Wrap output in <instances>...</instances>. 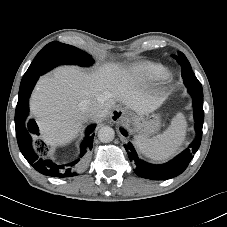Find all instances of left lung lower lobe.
<instances>
[{
	"mask_svg": "<svg viewBox=\"0 0 227 227\" xmlns=\"http://www.w3.org/2000/svg\"><path fill=\"white\" fill-rule=\"evenodd\" d=\"M190 95L193 99L196 137L189 147L173 160L161 165L150 164L138 157L131 143L124 145L130 161L136 166L135 173L138 176L151 180H166L180 175L187 168L200 146L204 121L203 93H190ZM121 133L127 135L123 129Z\"/></svg>",
	"mask_w": 227,
	"mask_h": 227,
	"instance_id": "1",
	"label": "left lung lower lobe"
}]
</instances>
